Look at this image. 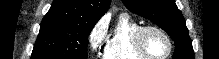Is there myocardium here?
I'll list each match as a JSON object with an SVG mask.
<instances>
[{
	"label": "myocardium",
	"instance_id": "myocardium-1",
	"mask_svg": "<svg viewBox=\"0 0 219 59\" xmlns=\"http://www.w3.org/2000/svg\"><path fill=\"white\" fill-rule=\"evenodd\" d=\"M149 31L158 32L167 41L168 50L164 56L153 57L146 52L144 45H143V38H144V35ZM133 49L139 56H141L145 59H167L173 51V41H172L171 37L169 36V34L164 29H162L158 26H155V25H143V26H140L134 34Z\"/></svg>",
	"mask_w": 219,
	"mask_h": 59
}]
</instances>
